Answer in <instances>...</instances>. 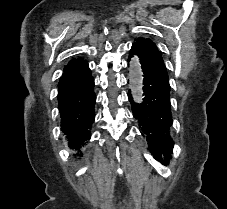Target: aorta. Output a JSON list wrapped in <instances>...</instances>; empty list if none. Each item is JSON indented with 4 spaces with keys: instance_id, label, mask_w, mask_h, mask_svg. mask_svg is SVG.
Listing matches in <instances>:
<instances>
[{
    "instance_id": "1",
    "label": "aorta",
    "mask_w": 227,
    "mask_h": 209,
    "mask_svg": "<svg viewBox=\"0 0 227 209\" xmlns=\"http://www.w3.org/2000/svg\"><path fill=\"white\" fill-rule=\"evenodd\" d=\"M129 86L134 99L141 103L143 101V72L138 59H132L129 64Z\"/></svg>"
}]
</instances>
